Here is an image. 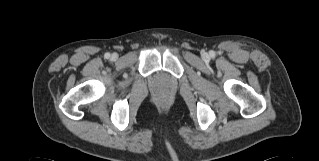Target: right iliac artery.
I'll return each mask as SVG.
<instances>
[{"label": "right iliac artery", "mask_w": 319, "mask_h": 161, "mask_svg": "<svg viewBox=\"0 0 319 161\" xmlns=\"http://www.w3.org/2000/svg\"><path fill=\"white\" fill-rule=\"evenodd\" d=\"M104 57H105L106 59H109V58H110V53H105Z\"/></svg>", "instance_id": "1"}]
</instances>
